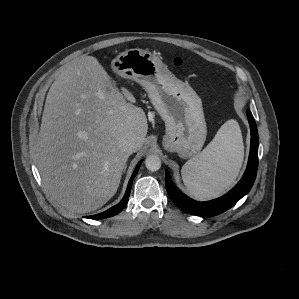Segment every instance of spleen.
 <instances>
[{"instance_id": "spleen-1", "label": "spleen", "mask_w": 299, "mask_h": 299, "mask_svg": "<svg viewBox=\"0 0 299 299\" xmlns=\"http://www.w3.org/2000/svg\"><path fill=\"white\" fill-rule=\"evenodd\" d=\"M243 155L240 127L236 120H228L207 147L183 165V182L196 198H215L234 183Z\"/></svg>"}]
</instances>
